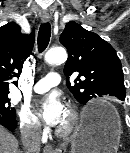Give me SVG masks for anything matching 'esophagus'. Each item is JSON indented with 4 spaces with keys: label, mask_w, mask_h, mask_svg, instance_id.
<instances>
[{
    "label": "esophagus",
    "mask_w": 130,
    "mask_h": 153,
    "mask_svg": "<svg viewBox=\"0 0 130 153\" xmlns=\"http://www.w3.org/2000/svg\"><path fill=\"white\" fill-rule=\"evenodd\" d=\"M41 20L42 22H48L50 20V15L49 14H42L41 15ZM44 153H54V149L52 145L48 144L43 148Z\"/></svg>",
    "instance_id": "34e87169"
}]
</instances>
